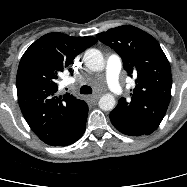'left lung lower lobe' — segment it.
I'll use <instances>...</instances> for the list:
<instances>
[{"label":"left lung lower lobe","instance_id":"0a47b994","mask_svg":"<svg viewBox=\"0 0 187 187\" xmlns=\"http://www.w3.org/2000/svg\"><path fill=\"white\" fill-rule=\"evenodd\" d=\"M110 121L118 131H120L125 135L128 136L147 135L141 130L135 128L134 126L129 125L126 121H124L123 119H121L119 116H117L112 112L110 113Z\"/></svg>","mask_w":187,"mask_h":187}]
</instances>
